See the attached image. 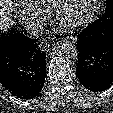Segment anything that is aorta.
Wrapping results in <instances>:
<instances>
[{
    "label": "aorta",
    "mask_w": 113,
    "mask_h": 113,
    "mask_svg": "<svg viewBox=\"0 0 113 113\" xmlns=\"http://www.w3.org/2000/svg\"><path fill=\"white\" fill-rule=\"evenodd\" d=\"M57 53L67 60L78 58V49L71 40H61L55 44Z\"/></svg>",
    "instance_id": "762f6f07"
}]
</instances>
